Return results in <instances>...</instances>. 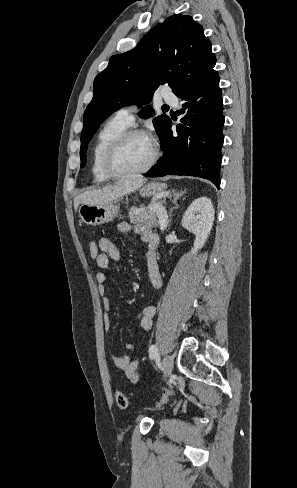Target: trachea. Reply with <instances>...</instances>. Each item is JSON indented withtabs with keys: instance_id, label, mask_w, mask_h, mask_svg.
I'll return each instance as SVG.
<instances>
[{
	"instance_id": "1",
	"label": "trachea",
	"mask_w": 297,
	"mask_h": 488,
	"mask_svg": "<svg viewBox=\"0 0 297 488\" xmlns=\"http://www.w3.org/2000/svg\"><path fill=\"white\" fill-rule=\"evenodd\" d=\"M163 108H169V106L168 105H163Z\"/></svg>"
}]
</instances>
